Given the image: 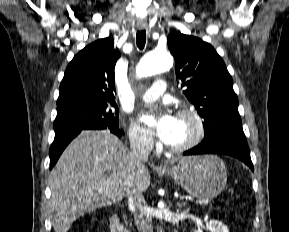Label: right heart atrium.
<instances>
[{
  "instance_id": "obj_1",
  "label": "right heart atrium",
  "mask_w": 289,
  "mask_h": 232,
  "mask_svg": "<svg viewBox=\"0 0 289 232\" xmlns=\"http://www.w3.org/2000/svg\"><path fill=\"white\" fill-rule=\"evenodd\" d=\"M128 138L131 146L141 152H151L155 143L151 136L136 125H131L128 129Z\"/></svg>"
}]
</instances>
